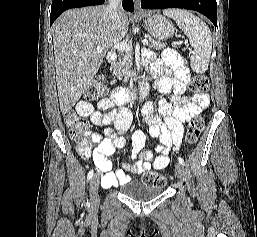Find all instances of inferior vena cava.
Here are the masks:
<instances>
[{
  "mask_svg": "<svg viewBox=\"0 0 257 237\" xmlns=\"http://www.w3.org/2000/svg\"><path fill=\"white\" fill-rule=\"evenodd\" d=\"M121 0H109L107 5V10L113 24L116 25L118 29L121 28V10H120Z\"/></svg>",
  "mask_w": 257,
  "mask_h": 237,
  "instance_id": "obj_1",
  "label": "inferior vena cava"
}]
</instances>
